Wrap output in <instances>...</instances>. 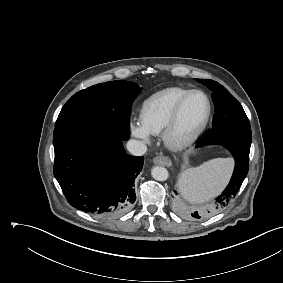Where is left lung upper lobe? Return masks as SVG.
I'll return each instance as SVG.
<instances>
[{
    "label": "left lung upper lobe",
    "instance_id": "obj_1",
    "mask_svg": "<svg viewBox=\"0 0 283 283\" xmlns=\"http://www.w3.org/2000/svg\"><path fill=\"white\" fill-rule=\"evenodd\" d=\"M212 93L215 106L213 127L204 139L209 143L232 144L250 148L251 128L241 104L219 83L209 79H197Z\"/></svg>",
    "mask_w": 283,
    "mask_h": 283
}]
</instances>
